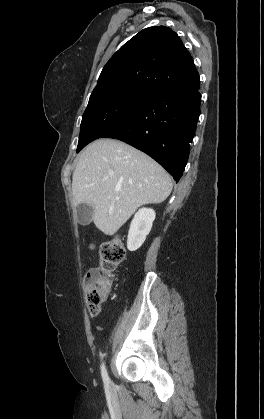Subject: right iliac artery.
I'll return each instance as SVG.
<instances>
[{
	"label": "right iliac artery",
	"mask_w": 264,
	"mask_h": 419,
	"mask_svg": "<svg viewBox=\"0 0 264 419\" xmlns=\"http://www.w3.org/2000/svg\"><path fill=\"white\" fill-rule=\"evenodd\" d=\"M101 375H102L105 385L108 386L110 384V379L108 377L104 362L101 364Z\"/></svg>",
	"instance_id": "right-iliac-artery-1"
}]
</instances>
